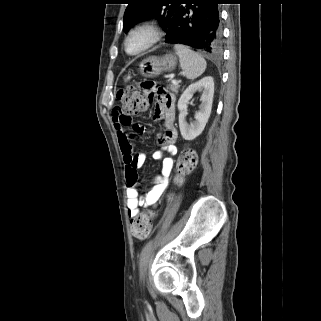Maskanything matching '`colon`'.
Returning <instances> with one entry per match:
<instances>
[{"instance_id":"5ec220e1","label":"colon","mask_w":321,"mask_h":321,"mask_svg":"<svg viewBox=\"0 0 321 321\" xmlns=\"http://www.w3.org/2000/svg\"><path fill=\"white\" fill-rule=\"evenodd\" d=\"M152 83V82H141ZM137 85H131L118 92L117 98L121 102L118 107L124 115L136 114L148 108L155 96L148 94L149 90H138ZM197 164V156L193 150H184L177 161V183H181L183 177L191 173ZM138 181V175L130 179V184L135 185ZM154 214L152 212L143 213L136 216L131 221L132 234L138 239H146L151 235L153 227Z\"/></svg>"}]
</instances>
